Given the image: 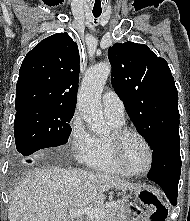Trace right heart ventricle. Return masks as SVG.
<instances>
[{"mask_svg": "<svg viewBox=\"0 0 190 221\" xmlns=\"http://www.w3.org/2000/svg\"><path fill=\"white\" fill-rule=\"evenodd\" d=\"M112 132L123 128L124 123L110 120ZM110 136V135H109ZM109 136L95 137L94 151L85 163L89 168L116 175H127L116 163L109 141Z\"/></svg>", "mask_w": 190, "mask_h": 221, "instance_id": "obj_1", "label": "right heart ventricle"}]
</instances>
